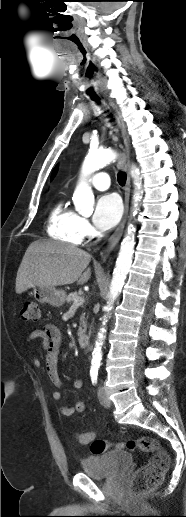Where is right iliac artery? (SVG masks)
<instances>
[{
    "label": "right iliac artery",
    "instance_id": "obj_1",
    "mask_svg": "<svg viewBox=\"0 0 186 517\" xmlns=\"http://www.w3.org/2000/svg\"><path fill=\"white\" fill-rule=\"evenodd\" d=\"M91 380L93 383H97L98 371H90Z\"/></svg>",
    "mask_w": 186,
    "mask_h": 517
}]
</instances>
